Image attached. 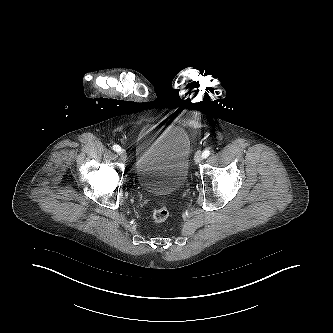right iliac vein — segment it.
<instances>
[{"label": "right iliac vein", "mask_w": 333, "mask_h": 333, "mask_svg": "<svg viewBox=\"0 0 333 333\" xmlns=\"http://www.w3.org/2000/svg\"><path fill=\"white\" fill-rule=\"evenodd\" d=\"M119 155L121 156L122 160H124V161L126 160L127 155H126L125 150H120Z\"/></svg>", "instance_id": "obj_1"}]
</instances>
